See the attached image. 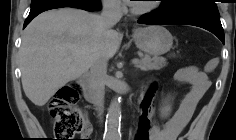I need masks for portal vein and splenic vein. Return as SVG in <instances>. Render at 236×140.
<instances>
[{
  "instance_id": "1",
  "label": "portal vein and splenic vein",
  "mask_w": 236,
  "mask_h": 140,
  "mask_svg": "<svg viewBox=\"0 0 236 140\" xmlns=\"http://www.w3.org/2000/svg\"><path fill=\"white\" fill-rule=\"evenodd\" d=\"M131 63L137 65L139 63V59H132Z\"/></svg>"
}]
</instances>
